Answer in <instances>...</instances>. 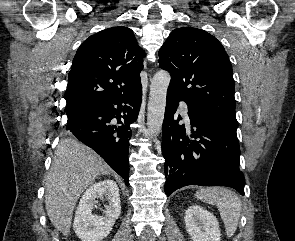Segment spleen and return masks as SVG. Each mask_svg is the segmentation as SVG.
Returning a JSON list of instances; mask_svg holds the SVG:
<instances>
[{"label":"spleen","mask_w":295,"mask_h":241,"mask_svg":"<svg viewBox=\"0 0 295 241\" xmlns=\"http://www.w3.org/2000/svg\"><path fill=\"white\" fill-rule=\"evenodd\" d=\"M195 197L218 207L228 237L234 235L241 212V200L233 191L222 187L201 188Z\"/></svg>","instance_id":"spleen-1"}]
</instances>
